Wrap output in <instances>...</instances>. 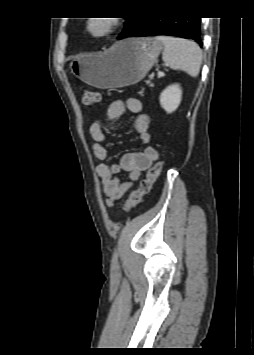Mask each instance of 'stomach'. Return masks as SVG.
Listing matches in <instances>:
<instances>
[{
    "instance_id": "obj_1",
    "label": "stomach",
    "mask_w": 254,
    "mask_h": 355,
    "mask_svg": "<svg viewBox=\"0 0 254 355\" xmlns=\"http://www.w3.org/2000/svg\"><path fill=\"white\" fill-rule=\"evenodd\" d=\"M163 49L152 37L127 38L103 54H83L69 63L71 73L98 88H119L141 81Z\"/></svg>"
}]
</instances>
